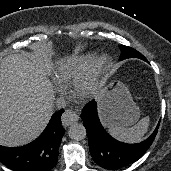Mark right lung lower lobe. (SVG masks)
Masks as SVG:
<instances>
[{
	"label": "right lung lower lobe",
	"mask_w": 171,
	"mask_h": 171,
	"mask_svg": "<svg viewBox=\"0 0 171 171\" xmlns=\"http://www.w3.org/2000/svg\"><path fill=\"white\" fill-rule=\"evenodd\" d=\"M63 110L53 114L44 132L22 147L0 146V162L14 171H51L58 160V148L65 130L60 117Z\"/></svg>",
	"instance_id": "right-lung-lower-lobe-1"
}]
</instances>
